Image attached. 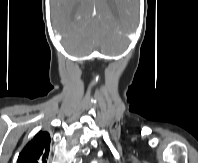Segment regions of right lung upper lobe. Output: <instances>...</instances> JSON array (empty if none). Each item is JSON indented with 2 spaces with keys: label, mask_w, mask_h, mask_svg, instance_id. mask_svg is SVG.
<instances>
[{
  "label": "right lung upper lobe",
  "mask_w": 198,
  "mask_h": 163,
  "mask_svg": "<svg viewBox=\"0 0 198 163\" xmlns=\"http://www.w3.org/2000/svg\"><path fill=\"white\" fill-rule=\"evenodd\" d=\"M50 141L49 133L40 131L19 154L17 163H46Z\"/></svg>",
  "instance_id": "cb5924a9"
}]
</instances>
